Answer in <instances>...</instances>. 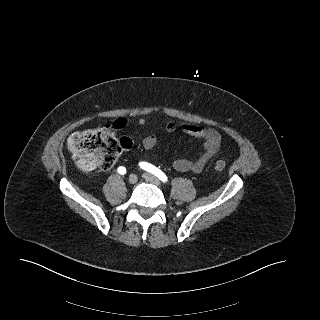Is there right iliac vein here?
<instances>
[{"label": "right iliac vein", "instance_id": "1", "mask_svg": "<svg viewBox=\"0 0 320 320\" xmlns=\"http://www.w3.org/2000/svg\"><path fill=\"white\" fill-rule=\"evenodd\" d=\"M137 176L135 175V174H131L130 176H129V179H128V181H129V183L130 184H135L136 182H137Z\"/></svg>", "mask_w": 320, "mask_h": 320}]
</instances>
